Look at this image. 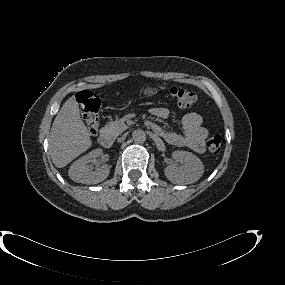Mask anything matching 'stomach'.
I'll return each mask as SVG.
<instances>
[{"instance_id": "1", "label": "stomach", "mask_w": 285, "mask_h": 285, "mask_svg": "<svg viewBox=\"0 0 285 285\" xmlns=\"http://www.w3.org/2000/svg\"><path fill=\"white\" fill-rule=\"evenodd\" d=\"M158 92L159 88L157 86H152V85L145 86L141 89V94L144 97H153L157 95Z\"/></svg>"}]
</instances>
